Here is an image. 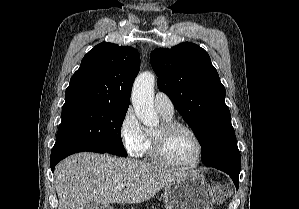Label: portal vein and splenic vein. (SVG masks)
I'll return each instance as SVG.
<instances>
[{"label": "portal vein and splenic vein", "instance_id": "18ae733b", "mask_svg": "<svg viewBox=\"0 0 299 209\" xmlns=\"http://www.w3.org/2000/svg\"><path fill=\"white\" fill-rule=\"evenodd\" d=\"M119 188L120 189L124 188V184L119 185Z\"/></svg>", "mask_w": 299, "mask_h": 209}]
</instances>
